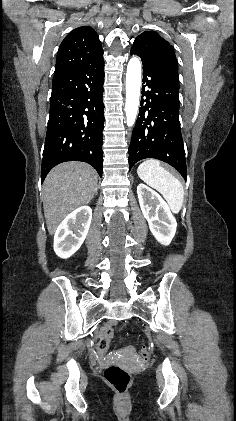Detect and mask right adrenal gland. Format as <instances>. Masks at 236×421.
I'll return each instance as SVG.
<instances>
[{
	"mask_svg": "<svg viewBox=\"0 0 236 421\" xmlns=\"http://www.w3.org/2000/svg\"><path fill=\"white\" fill-rule=\"evenodd\" d=\"M98 188H99V184H97V186H96V192H97Z\"/></svg>",
	"mask_w": 236,
	"mask_h": 421,
	"instance_id": "2a0ac1e0",
	"label": "right adrenal gland"
}]
</instances>
